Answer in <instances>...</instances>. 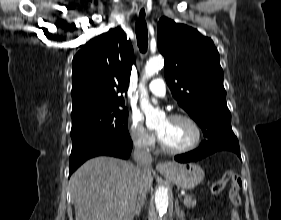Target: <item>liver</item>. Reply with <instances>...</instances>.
I'll return each mask as SVG.
<instances>
[{"label":"liver","mask_w":281,"mask_h":220,"mask_svg":"<svg viewBox=\"0 0 281 220\" xmlns=\"http://www.w3.org/2000/svg\"><path fill=\"white\" fill-rule=\"evenodd\" d=\"M136 179V167L128 161L106 156L86 161L70 178L75 219L133 220Z\"/></svg>","instance_id":"1"}]
</instances>
